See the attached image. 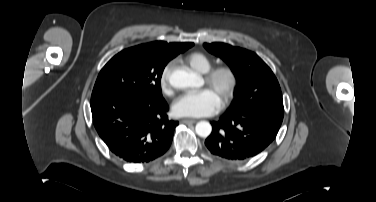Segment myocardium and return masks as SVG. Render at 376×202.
Wrapping results in <instances>:
<instances>
[{
  "label": "myocardium",
  "instance_id": "myocardium-1",
  "mask_svg": "<svg viewBox=\"0 0 376 202\" xmlns=\"http://www.w3.org/2000/svg\"><path fill=\"white\" fill-rule=\"evenodd\" d=\"M204 81L211 88H219L224 82L220 100V105L224 108L234 96L238 85V75L231 65L223 64L207 71L204 74Z\"/></svg>",
  "mask_w": 376,
  "mask_h": 202
}]
</instances>
